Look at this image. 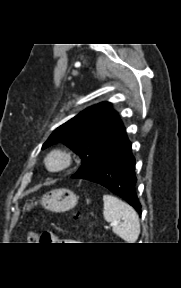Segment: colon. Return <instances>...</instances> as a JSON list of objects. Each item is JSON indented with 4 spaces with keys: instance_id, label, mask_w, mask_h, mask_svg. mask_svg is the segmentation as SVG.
<instances>
[{
    "instance_id": "1",
    "label": "colon",
    "mask_w": 181,
    "mask_h": 288,
    "mask_svg": "<svg viewBox=\"0 0 181 288\" xmlns=\"http://www.w3.org/2000/svg\"><path fill=\"white\" fill-rule=\"evenodd\" d=\"M40 242H50L49 233L39 234L34 231H30L28 235V243H40Z\"/></svg>"
}]
</instances>
